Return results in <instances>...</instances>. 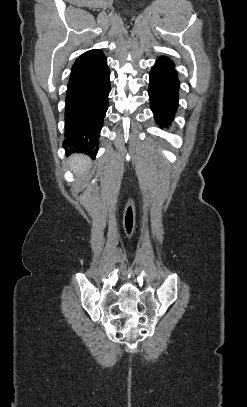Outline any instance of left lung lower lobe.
Listing matches in <instances>:
<instances>
[{
    "label": "left lung lower lobe",
    "instance_id": "0a47b994",
    "mask_svg": "<svg viewBox=\"0 0 247 407\" xmlns=\"http://www.w3.org/2000/svg\"><path fill=\"white\" fill-rule=\"evenodd\" d=\"M179 80L175 65L161 56L152 67L149 82V100L155 121L163 129L173 120L178 106Z\"/></svg>",
    "mask_w": 247,
    "mask_h": 407
}]
</instances>
